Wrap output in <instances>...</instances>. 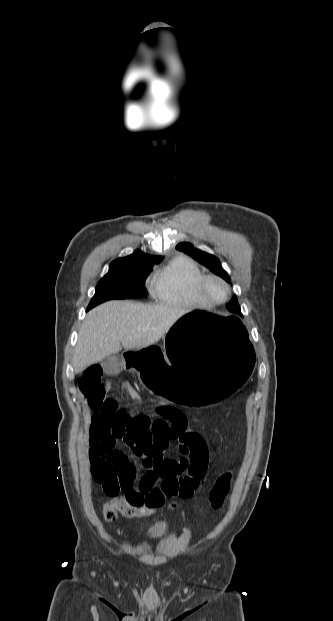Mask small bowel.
Here are the masks:
<instances>
[{
    "instance_id": "c3829d8e",
    "label": "small bowel",
    "mask_w": 333,
    "mask_h": 621,
    "mask_svg": "<svg viewBox=\"0 0 333 621\" xmlns=\"http://www.w3.org/2000/svg\"><path fill=\"white\" fill-rule=\"evenodd\" d=\"M119 366L118 357H107L88 366L79 381L85 402L94 410L88 447L92 474L103 462L123 468L129 461L120 449L123 445L142 459L146 469L123 496L132 507L161 508L166 499L192 497L207 472L209 454L205 441L191 427L186 415L173 405L157 406L155 419L120 408L118 401L108 396L107 383L102 380L103 374L113 373ZM122 387L134 401H142L129 383H123ZM172 439L180 443L179 459L163 455Z\"/></svg>"
}]
</instances>
